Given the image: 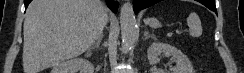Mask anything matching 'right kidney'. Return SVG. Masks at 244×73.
<instances>
[{"mask_svg":"<svg viewBox=\"0 0 244 73\" xmlns=\"http://www.w3.org/2000/svg\"><path fill=\"white\" fill-rule=\"evenodd\" d=\"M93 73L94 66L86 59L76 58L62 62L53 67L51 73Z\"/></svg>","mask_w":244,"mask_h":73,"instance_id":"1","label":"right kidney"}]
</instances>
